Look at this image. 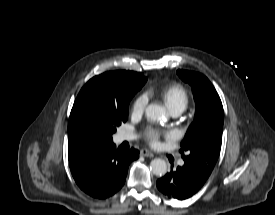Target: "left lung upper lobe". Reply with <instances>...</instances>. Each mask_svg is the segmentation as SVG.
Listing matches in <instances>:
<instances>
[{
    "label": "left lung upper lobe",
    "mask_w": 275,
    "mask_h": 215,
    "mask_svg": "<svg viewBox=\"0 0 275 215\" xmlns=\"http://www.w3.org/2000/svg\"><path fill=\"white\" fill-rule=\"evenodd\" d=\"M177 74L192 86L196 103L194 122L181 143L182 158L184 163L211 173L222 143L224 111L220 97L204 75L185 70Z\"/></svg>",
    "instance_id": "obj_1"
}]
</instances>
